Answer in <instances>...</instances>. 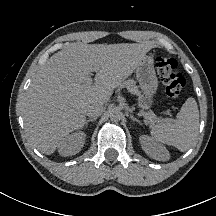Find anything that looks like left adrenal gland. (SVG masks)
Returning a JSON list of instances; mask_svg holds the SVG:
<instances>
[{
	"mask_svg": "<svg viewBox=\"0 0 216 216\" xmlns=\"http://www.w3.org/2000/svg\"><path fill=\"white\" fill-rule=\"evenodd\" d=\"M130 118L133 120V121H136L137 123H139L140 125L142 124L140 120H138L137 118H135L133 115H130Z\"/></svg>",
	"mask_w": 216,
	"mask_h": 216,
	"instance_id": "obj_1",
	"label": "left adrenal gland"
}]
</instances>
